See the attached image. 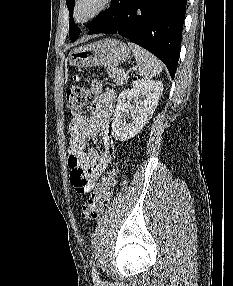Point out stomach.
Returning <instances> with one entry per match:
<instances>
[{"label":"stomach","mask_w":233,"mask_h":286,"mask_svg":"<svg viewBox=\"0 0 233 286\" xmlns=\"http://www.w3.org/2000/svg\"><path fill=\"white\" fill-rule=\"evenodd\" d=\"M130 58L127 45L115 39H103L71 50L67 61L70 66L117 68Z\"/></svg>","instance_id":"obj_1"}]
</instances>
